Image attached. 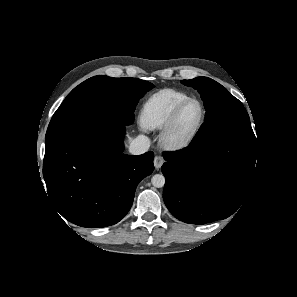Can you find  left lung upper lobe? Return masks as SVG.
Segmentation results:
<instances>
[{"mask_svg":"<svg viewBox=\"0 0 297 297\" xmlns=\"http://www.w3.org/2000/svg\"><path fill=\"white\" fill-rule=\"evenodd\" d=\"M181 83L199 92L206 109L205 121L193 141L230 136L256 144L246 109L226 88L208 77L182 80Z\"/></svg>","mask_w":297,"mask_h":297,"instance_id":"left-lung-upper-lobe-1","label":"left lung upper lobe"}]
</instances>
